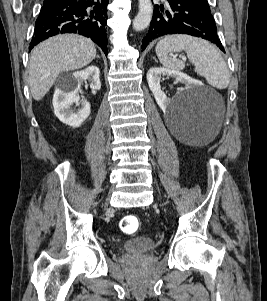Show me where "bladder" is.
Instances as JSON below:
<instances>
[{
	"label": "bladder",
	"mask_w": 267,
	"mask_h": 301,
	"mask_svg": "<svg viewBox=\"0 0 267 301\" xmlns=\"http://www.w3.org/2000/svg\"><path fill=\"white\" fill-rule=\"evenodd\" d=\"M156 247V241L148 235H140L125 241L121 249L126 252H148Z\"/></svg>",
	"instance_id": "obj_1"
}]
</instances>
